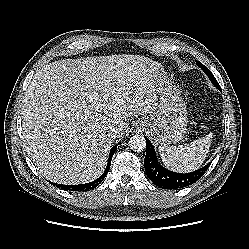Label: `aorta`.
Listing matches in <instances>:
<instances>
[{
  "mask_svg": "<svg viewBox=\"0 0 249 249\" xmlns=\"http://www.w3.org/2000/svg\"><path fill=\"white\" fill-rule=\"evenodd\" d=\"M129 147L135 152H141L146 147V140L142 135H133L129 139Z\"/></svg>",
  "mask_w": 249,
  "mask_h": 249,
  "instance_id": "obj_1",
  "label": "aorta"
}]
</instances>
